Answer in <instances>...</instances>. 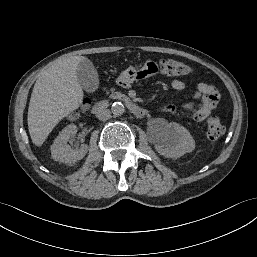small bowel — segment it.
I'll list each match as a JSON object with an SVG mask.
<instances>
[{
    "label": "small bowel",
    "instance_id": "c3829d8e",
    "mask_svg": "<svg viewBox=\"0 0 257 257\" xmlns=\"http://www.w3.org/2000/svg\"><path fill=\"white\" fill-rule=\"evenodd\" d=\"M158 73V64L152 59H145L139 60L135 64H127L120 67L115 73V80L122 88L142 87L145 84L155 82ZM166 82L170 88L177 91H182L186 88V81L174 74L170 75ZM190 96L198 100V102L185 104L181 110L190 113L195 121L205 120L219 101L217 88L209 82L199 83ZM163 111L175 113L177 107L167 105L163 107Z\"/></svg>",
    "mask_w": 257,
    "mask_h": 257
}]
</instances>
